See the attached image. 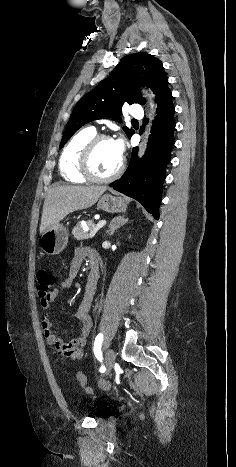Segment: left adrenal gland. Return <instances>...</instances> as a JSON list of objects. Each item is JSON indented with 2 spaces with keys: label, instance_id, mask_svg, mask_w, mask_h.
I'll return each mask as SVG.
<instances>
[{
  "label": "left adrenal gland",
  "instance_id": "obj_1",
  "mask_svg": "<svg viewBox=\"0 0 236 467\" xmlns=\"http://www.w3.org/2000/svg\"><path fill=\"white\" fill-rule=\"evenodd\" d=\"M128 222V218L125 216L115 217L109 224V230L107 231V236L114 234L115 230L119 229L121 226L125 225Z\"/></svg>",
  "mask_w": 236,
  "mask_h": 467
}]
</instances>
